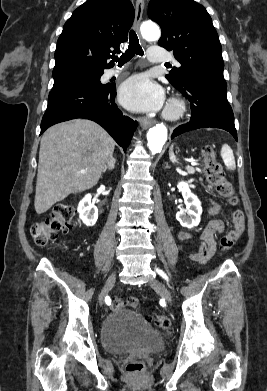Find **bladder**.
<instances>
[{"label": "bladder", "mask_w": 267, "mask_h": 391, "mask_svg": "<svg viewBox=\"0 0 267 391\" xmlns=\"http://www.w3.org/2000/svg\"><path fill=\"white\" fill-rule=\"evenodd\" d=\"M101 340L104 349L115 354L139 348L159 351L165 345L163 335L149 326L142 316L123 308L111 312L105 318Z\"/></svg>", "instance_id": "obj_1"}]
</instances>
